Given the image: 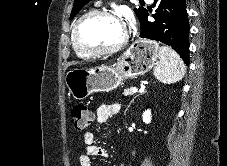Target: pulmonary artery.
<instances>
[{
	"label": "pulmonary artery",
	"mask_w": 227,
	"mask_h": 166,
	"mask_svg": "<svg viewBox=\"0 0 227 166\" xmlns=\"http://www.w3.org/2000/svg\"><path fill=\"white\" fill-rule=\"evenodd\" d=\"M145 1H147V2H151L152 0H145Z\"/></svg>",
	"instance_id": "obj_1"
}]
</instances>
